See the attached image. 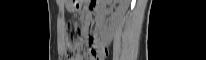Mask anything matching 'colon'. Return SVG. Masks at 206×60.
<instances>
[{
    "label": "colon",
    "instance_id": "5ec220e1",
    "mask_svg": "<svg viewBox=\"0 0 206 60\" xmlns=\"http://www.w3.org/2000/svg\"><path fill=\"white\" fill-rule=\"evenodd\" d=\"M68 31V49L67 56L70 60H75L78 56L79 49L81 46V37L79 29L74 22H69L67 25ZM102 55L97 56V60H101Z\"/></svg>",
    "mask_w": 206,
    "mask_h": 60
}]
</instances>
